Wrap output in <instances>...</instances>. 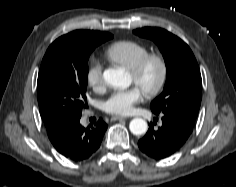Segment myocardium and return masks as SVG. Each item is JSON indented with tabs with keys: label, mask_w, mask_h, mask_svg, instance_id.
<instances>
[{
	"label": "myocardium",
	"mask_w": 236,
	"mask_h": 187,
	"mask_svg": "<svg viewBox=\"0 0 236 187\" xmlns=\"http://www.w3.org/2000/svg\"><path fill=\"white\" fill-rule=\"evenodd\" d=\"M150 64H156L158 66L159 77L153 87L143 90V94L146 97H154L158 95L165 87L168 79V64L166 59L161 54L148 53L142 57L131 69H129L135 82H138Z\"/></svg>",
	"instance_id": "f54148a6"
}]
</instances>
